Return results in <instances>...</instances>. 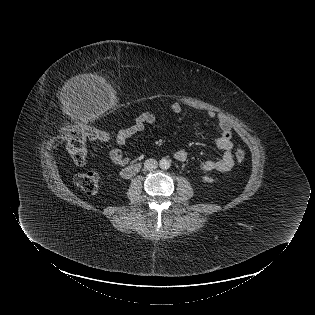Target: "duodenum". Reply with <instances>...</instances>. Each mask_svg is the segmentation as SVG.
Here are the masks:
<instances>
[{
	"label": "duodenum",
	"instance_id": "duodenum-1",
	"mask_svg": "<svg viewBox=\"0 0 315 315\" xmlns=\"http://www.w3.org/2000/svg\"><path fill=\"white\" fill-rule=\"evenodd\" d=\"M140 169V164L138 163H134V164H131L127 167H125L122 172H121V175L122 177L124 178H130L132 177L133 175H135Z\"/></svg>",
	"mask_w": 315,
	"mask_h": 315
}]
</instances>
